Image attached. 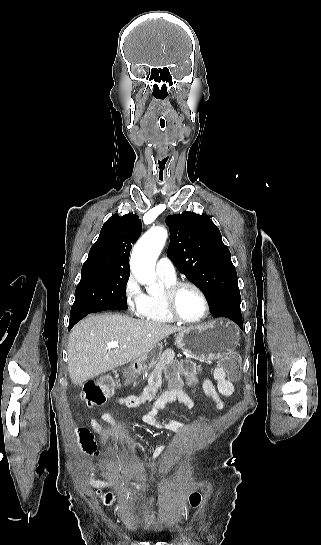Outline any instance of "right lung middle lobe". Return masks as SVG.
<instances>
[{
	"instance_id": "1",
	"label": "right lung middle lobe",
	"mask_w": 321,
	"mask_h": 545,
	"mask_svg": "<svg viewBox=\"0 0 321 545\" xmlns=\"http://www.w3.org/2000/svg\"><path fill=\"white\" fill-rule=\"evenodd\" d=\"M129 275L130 272H114L100 268L82 269L70 316L109 310L117 302L125 301Z\"/></svg>"
}]
</instances>
